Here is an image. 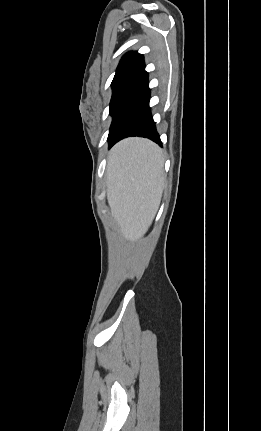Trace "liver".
<instances>
[{"label":"liver","instance_id":"6515ba94","mask_svg":"<svg viewBox=\"0 0 261 431\" xmlns=\"http://www.w3.org/2000/svg\"><path fill=\"white\" fill-rule=\"evenodd\" d=\"M161 148L144 138H127L109 152L107 200L123 239L141 241L160 205L164 188Z\"/></svg>","mask_w":261,"mask_h":431}]
</instances>
